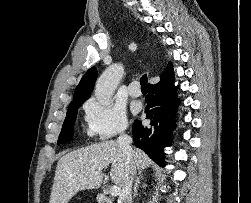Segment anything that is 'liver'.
I'll use <instances>...</instances> for the list:
<instances>
[{"label":"liver","mask_w":251,"mask_h":203,"mask_svg":"<svg viewBox=\"0 0 251 203\" xmlns=\"http://www.w3.org/2000/svg\"><path fill=\"white\" fill-rule=\"evenodd\" d=\"M132 163L141 172L152 162L142 150L135 149ZM109 165L111 180L122 188L128 169L117 142L110 140L92 144L62 156L57 162L49 203H68L79 191L98 189L104 177L98 168Z\"/></svg>","instance_id":"1"}]
</instances>
